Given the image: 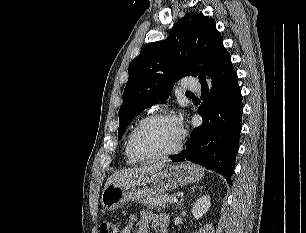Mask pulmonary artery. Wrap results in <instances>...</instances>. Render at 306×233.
Here are the masks:
<instances>
[{
  "label": "pulmonary artery",
  "instance_id": "1",
  "mask_svg": "<svg viewBox=\"0 0 306 233\" xmlns=\"http://www.w3.org/2000/svg\"><path fill=\"white\" fill-rule=\"evenodd\" d=\"M183 87L190 92H197L201 89L198 81L193 78L186 79L183 83Z\"/></svg>",
  "mask_w": 306,
  "mask_h": 233
}]
</instances>
